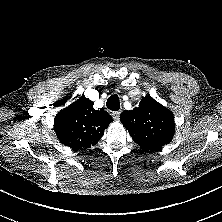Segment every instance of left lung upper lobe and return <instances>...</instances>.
<instances>
[{"label": "left lung upper lobe", "mask_w": 222, "mask_h": 222, "mask_svg": "<svg viewBox=\"0 0 222 222\" xmlns=\"http://www.w3.org/2000/svg\"><path fill=\"white\" fill-rule=\"evenodd\" d=\"M120 121L144 151L159 150L175 132L172 112L148 96L141 99L138 107L123 111Z\"/></svg>", "instance_id": "1"}]
</instances>
